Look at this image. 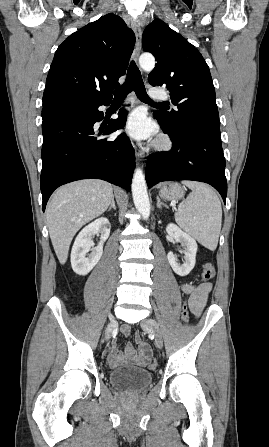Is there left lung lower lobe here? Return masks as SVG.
Here are the masks:
<instances>
[{
	"label": "left lung lower lobe",
	"instance_id": "0a47b994",
	"mask_svg": "<svg viewBox=\"0 0 269 447\" xmlns=\"http://www.w3.org/2000/svg\"><path fill=\"white\" fill-rule=\"evenodd\" d=\"M173 147L148 157L146 181L149 188L162 181L194 180L212 185L225 203L227 181L220 135L206 130L170 129L154 113Z\"/></svg>",
	"mask_w": 269,
	"mask_h": 447
}]
</instances>
